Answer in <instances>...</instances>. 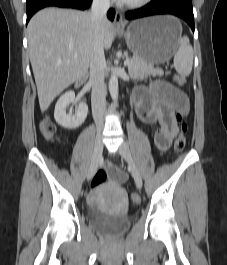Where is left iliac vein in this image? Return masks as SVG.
I'll return each instance as SVG.
<instances>
[{
    "label": "left iliac vein",
    "instance_id": "obj_1",
    "mask_svg": "<svg viewBox=\"0 0 227 265\" xmlns=\"http://www.w3.org/2000/svg\"><path fill=\"white\" fill-rule=\"evenodd\" d=\"M118 153L125 159V161L129 164L130 166V171L132 173V176L135 180V183L138 188L142 187V177L139 172V169L137 168L136 164L134 163L132 159V155L129 149V146L126 142H122L118 148Z\"/></svg>",
    "mask_w": 227,
    "mask_h": 265
}]
</instances>
